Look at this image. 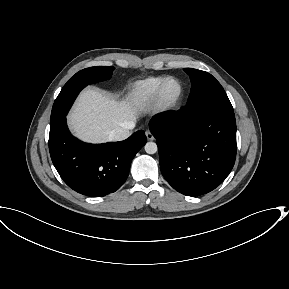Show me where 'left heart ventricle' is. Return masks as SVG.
<instances>
[{
  "label": "left heart ventricle",
  "instance_id": "b2bd125f",
  "mask_svg": "<svg viewBox=\"0 0 289 289\" xmlns=\"http://www.w3.org/2000/svg\"><path fill=\"white\" fill-rule=\"evenodd\" d=\"M179 87L178 84L174 81L169 82L165 87V97L168 99L174 98L178 93Z\"/></svg>",
  "mask_w": 289,
  "mask_h": 289
}]
</instances>
